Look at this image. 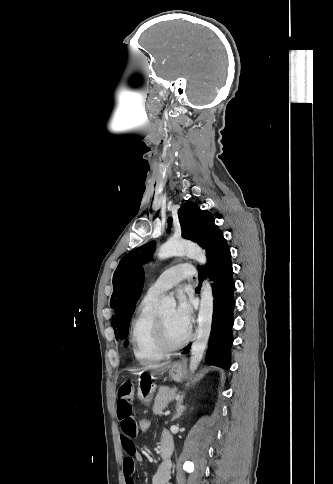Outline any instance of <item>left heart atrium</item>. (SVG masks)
<instances>
[{"instance_id": "39dd6f15", "label": "left heart atrium", "mask_w": 333, "mask_h": 484, "mask_svg": "<svg viewBox=\"0 0 333 484\" xmlns=\"http://www.w3.org/2000/svg\"><path fill=\"white\" fill-rule=\"evenodd\" d=\"M174 317L179 326L188 332L192 322L193 307L192 302L182 293L178 295V303L174 310Z\"/></svg>"}]
</instances>
